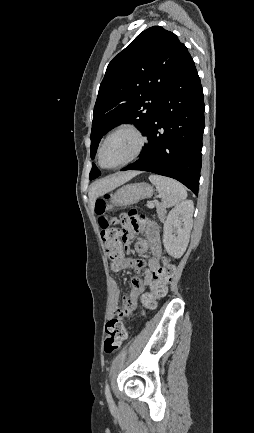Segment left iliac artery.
Returning <instances> with one entry per match:
<instances>
[{"mask_svg": "<svg viewBox=\"0 0 254 433\" xmlns=\"http://www.w3.org/2000/svg\"><path fill=\"white\" fill-rule=\"evenodd\" d=\"M105 395H106L107 401L109 403H112L113 400H112V396H111V392H110V388H109L108 383H106V386H105Z\"/></svg>", "mask_w": 254, "mask_h": 433, "instance_id": "44dca946", "label": "left iliac artery"}]
</instances>
